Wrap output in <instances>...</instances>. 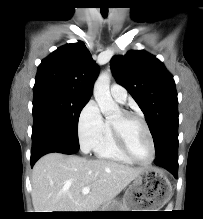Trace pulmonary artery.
Masks as SVG:
<instances>
[{
    "mask_svg": "<svg viewBox=\"0 0 203 219\" xmlns=\"http://www.w3.org/2000/svg\"><path fill=\"white\" fill-rule=\"evenodd\" d=\"M112 97L119 103L123 104L127 99V91L119 84H113L110 88Z\"/></svg>",
    "mask_w": 203,
    "mask_h": 219,
    "instance_id": "pulmonary-artery-1",
    "label": "pulmonary artery"
}]
</instances>
